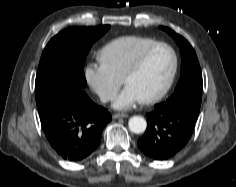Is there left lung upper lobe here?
I'll return each instance as SVG.
<instances>
[{
  "instance_id": "obj_1",
  "label": "left lung upper lobe",
  "mask_w": 236,
  "mask_h": 187,
  "mask_svg": "<svg viewBox=\"0 0 236 187\" xmlns=\"http://www.w3.org/2000/svg\"><path fill=\"white\" fill-rule=\"evenodd\" d=\"M161 28L175 39L182 57L181 76L178 84L173 95L163 104L173 108L187 106L199 111L202 100L203 81L196 53L184 37L167 27Z\"/></svg>"
}]
</instances>
